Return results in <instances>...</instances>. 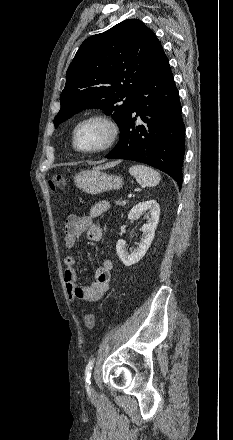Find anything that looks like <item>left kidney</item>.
Returning a JSON list of instances; mask_svg holds the SVG:
<instances>
[{"mask_svg":"<svg viewBox=\"0 0 233 440\" xmlns=\"http://www.w3.org/2000/svg\"><path fill=\"white\" fill-rule=\"evenodd\" d=\"M146 211H148L146 214L148 222L141 228L143 234L137 249L131 251L129 254L126 251L125 240L120 239L116 244L117 255L125 266H131L140 261L154 239L155 229L158 225L160 215V207L155 200H147L135 205L128 214V220H134Z\"/></svg>","mask_w":233,"mask_h":440,"instance_id":"5707ae66","label":"left kidney"}]
</instances>
